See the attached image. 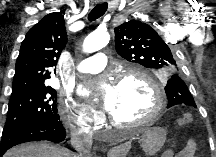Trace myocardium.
Returning <instances> with one entry per match:
<instances>
[{"label": "myocardium", "mask_w": 216, "mask_h": 157, "mask_svg": "<svg viewBox=\"0 0 216 157\" xmlns=\"http://www.w3.org/2000/svg\"><path fill=\"white\" fill-rule=\"evenodd\" d=\"M127 78H138L144 81L149 86L154 96V106L151 112L143 119L134 122H122L116 119L110 113L109 114L110 122L112 124L125 126V127H139V126L151 124L159 117V115L161 114V112L166 106V98L161 86L152 76H150L147 72H145L140 68H131L123 72L122 74L118 75L115 81L116 85H120Z\"/></svg>", "instance_id": "obj_1"}]
</instances>
